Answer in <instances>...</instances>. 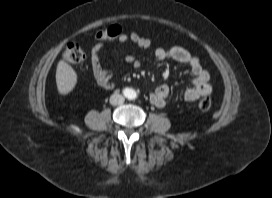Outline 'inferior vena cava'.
Here are the masks:
<instances>
[{
    "label": "inferior vena cava",
    "mask_w": 272,
    "mask_h": 198,
    "mask_svg": "<svg viewBox=\"0 0 272 198\" xmlns=\"http://www.w3.org/2000/svg\"><path fill=\"white\" fill-rule=\"evenodd\" d=\"M124 101H125L124 96L118 93H114L110 97V104L114 106L121 105L124 103Z\"/></svg>",
    "instance_id": "1"
}]
</instances>
